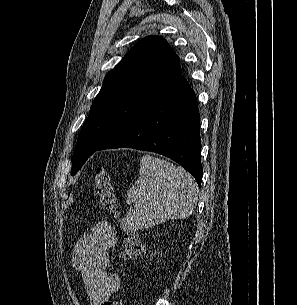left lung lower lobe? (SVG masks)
Here are the masks:
<instances>
[{"mask_svg": "<svg viewBox=\"0 0 297 305\" xmlns=\"http://www.w3.org/2000/svg\"><path fill=\"white\" fill-rule=\"evenodd\" d=\"M199 111L195 93L184 76L158 81L126 109L96 150L134 148L169 157L201 186Z\"/></svg>", "mask_w": 297, "mask_h": 305, "instance_id": "0a47b994", "label": "left lung lower lobe"}]
</instances>
